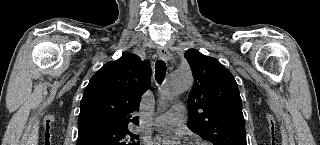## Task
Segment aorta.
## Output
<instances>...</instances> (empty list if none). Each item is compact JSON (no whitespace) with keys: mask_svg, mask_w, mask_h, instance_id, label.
I'll return each mask as SVG.
<instances>
[{"mask_svg":"<svg viewBox=\"0 0 320 145\" xmlns=\"http://www.w3.org/2000/svg\"><path fill=\"white\" fill-rule=\"evenodd\" d=\"M192 84L193 79L191 73L181 71L171 73L161 92V106L166 107L169 105L176 96L188 90Z\"/></svg>","mask_w":320,"mask_h":145,"instance_id":"1","label":"aorta"}]
</instances>
